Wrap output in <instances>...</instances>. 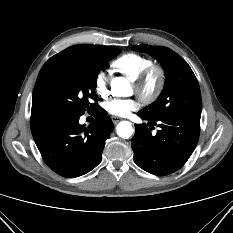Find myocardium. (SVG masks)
Segmentation results:
<instances>
[{"mask_svg": "<svg viewBox=\"0 0 233 233\" xmlns=\"http://www.w3.org/2000/svg\"><path fill=\"white\" fill-rule=\"evenodd\" d=\"M152 77L156 78V83L151 91L147 90V84ZM166 83L165 69L158 64H151L141 71L133 80L132 84L135 92L143 104H150L158 99Z\"/></svg>", "mask_w": 233, "mask_h": 233, "instance_id": "1", "label": "myocardium"}]
</instances>
